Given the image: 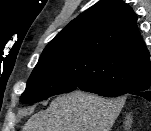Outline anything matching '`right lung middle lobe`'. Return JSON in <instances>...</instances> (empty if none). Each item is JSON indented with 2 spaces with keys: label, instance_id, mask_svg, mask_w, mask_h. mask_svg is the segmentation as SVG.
<instances>
[{
  "label": "right lung middle lobe",
  "instance_id": "dd1d6c3e",
  "mask_svg": "<svg viewBox=\"0 0 151 131\" xmlns=\"http://www.w3.org/2000/svg\"><path fill=\"white\" fill-rule=\"evenodd\" d=\"M107 87L95 59L68 42L45 48L31 73L20 101L35 103L77 89L79 78Z\"/></svg>",
  "mask_w": 151,
  "mask_h": 131
}]
</instances>
